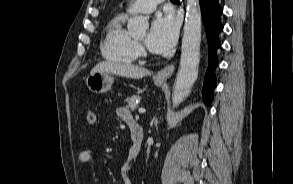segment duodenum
Masks as SVG:
<instances>
[{
  "label": "duodenum",
  "instance_id": "obj_1",
  "mask_svg": "<svg viewBox=\"0 0 293 184\" xmlns=\"http://www.w3.org/2000/svg\"><path fill=\"white\" fill-rule=\"evenodd\" d=\"M129 128L131 132L132 148L134 152L138 154L143 141V129L135 121L129 123Z\"/></svg>",
  "mask_w": 293,
  "mask_h": 184
}]
</instances>
